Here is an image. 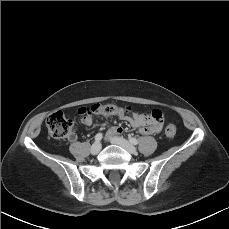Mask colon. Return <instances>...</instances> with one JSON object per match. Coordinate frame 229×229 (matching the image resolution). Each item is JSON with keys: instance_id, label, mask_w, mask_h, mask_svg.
Returning a JSON list of instances; mask_svg holds the SVG:
<instances>
[{"instance_id": "5ec220e1", "label": "colon", "mask_w": 229, "mask_h": 229, "mask_svg": "<svg viewBox=\"0 0 229 229\" xmlns=\"http://www.w3.org/2000/svg\"><path fill=\"white\" fill-rule=\"evenodd\" d=\"M131 107L122 108L113 103L107 104H93L89 107H82L79 109V114H94V115H114L122 111H131ZM148 123H153L157 126L161 125L164 121V115L161 110L155 109L147 114ZM46 125L49 135L54 139L67 138L72 130L73 123L69 120L62 111H56L49 115L46 120ZM176 134V128L173 125H169L165 129V135L168 138H172Z\"/></svg>"}]
</instances>
